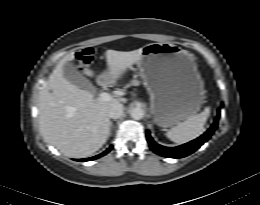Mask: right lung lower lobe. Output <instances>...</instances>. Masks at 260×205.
Masks as SVG:
<instances>
[{"instance_id": "obj_1", "label": "right lung lower lobe", "mask_w": 260, "mask_h": 205, "mask_svg": "<svg viewBox=\"0 0 260 205\" xmlns=\"http://www.w3.org/2000/svg\"><path fill=\"white\" fill-rule=\"evenodd\" d=\"M113 148V146H110L106 151H104L103 153L97 155V156H94V157H91V158H85V159H77L78 161H90V160H94V159H97L105 154H107L111 149Z\"/></svg>"}]
</instances>
